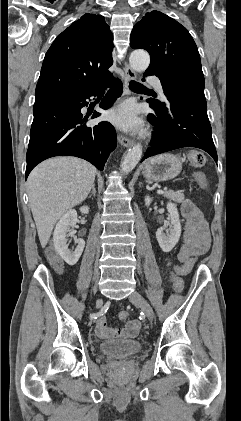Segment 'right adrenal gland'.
<instances>
[{
  "label": "right adrenal gland",
  "instance_id": "1",
  "mask_svg": "<svg viewBox=\"0 0 241 421\" xmlns=\"http://www.w3.org/2000/svg\"><path fill=\"white\" fill-rule=\"evenodd\" d=\"M95 195H96V188H95V184H93L92 191L90 192L89 197L91 196L95 197Z\"/></svg>",
  "mask_w": 241,
  "mask_h": 421
}]
</instances>
